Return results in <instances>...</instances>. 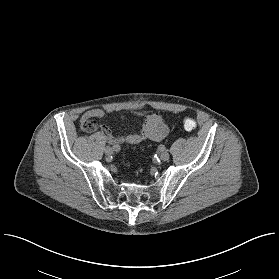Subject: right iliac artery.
<instances>
[{
  "instance_id": "obj_1",
  "label": "right iliac artery",
  "mask_w": 279,
  "mask_h": 279,
  "mask_svg": "<svg viewBox=\"0 0 279 279\" xmlns=\"http://www.w3.org/2000/svg\"><path fill=\"white\" fill-rule=\"evenodd\" d=\"M120 149H121V147L119 145H114L113 146L114 151H119Z\"/></svg>"
}]
</instances>
